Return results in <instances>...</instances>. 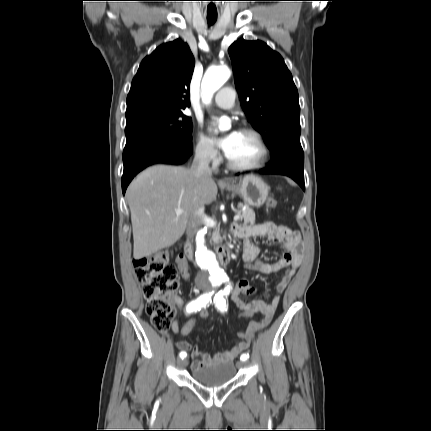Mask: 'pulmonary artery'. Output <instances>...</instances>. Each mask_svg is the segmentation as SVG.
I'll list each match as a JSON object with an SVG mask.
<instances>
[{
    "label": "pulmonary artery",
    "instance_id": "pulmonary-artery-1",
    "mask_svg": "<svg viewBox=\"0 0 431 431\" xmlns=\"http://www.w3.org/2000/svg\"><path fill=\"white\" fill-rule=\"evenodd\" d=\"M236 92L234 88L225 86L221 88L214 96L213 103L222 109H231L235 105Z\"/></svg>",
    "mask_w": 431,
    "mask_h": 431
}]
</instances>
